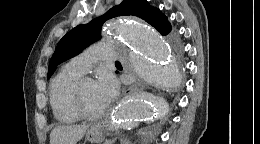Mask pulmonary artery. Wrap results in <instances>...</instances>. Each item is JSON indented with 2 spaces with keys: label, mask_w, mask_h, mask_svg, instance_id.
Segmentation results:
<instances>
[{
  "label": "pulmonary artery",
  "mask_w": 260,
  "mask_h": 144,
  "mask_svg": "<svg viewBox=\"0 0 260 144\" xmlns=\"http://www.w3.org/2000/svg\"><path fill=\"white\" fill-rule=\"evenodd\" d=\"M117 59V54L112 45L108 43L96 44L71 60V64L82 73H87L93 65L100 60L112 62Z\"/></svg>",
  "instance_id": "pulmonary-artery-1"
}]
</instances>
